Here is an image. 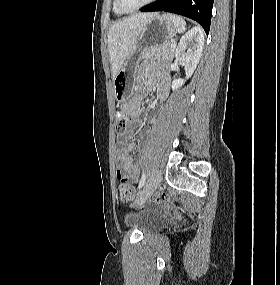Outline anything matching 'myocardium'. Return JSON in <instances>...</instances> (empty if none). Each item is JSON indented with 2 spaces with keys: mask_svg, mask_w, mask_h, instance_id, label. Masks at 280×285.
<instances>
[{
  "mask_svg": "<svg viewBox=\"0 0 280 285\" xmlns=\"http://www.w3.org/2000/svg\"><path fill=\"white\" fill-rule=\"evenodd\" d=\"M155 0H146L144 1L142 4L136 6V7H132V8H126L122 5V1L121 0H115L116 6L117 8L123 12V13H131V12H135L151 3H153Z\"/></svg>",
  "mask_w": 280,
  "mask_h": 285,
  "instance_id": "myocardium-1",
  "label": "myocardium"
}]
</instances>
